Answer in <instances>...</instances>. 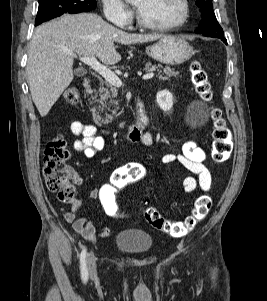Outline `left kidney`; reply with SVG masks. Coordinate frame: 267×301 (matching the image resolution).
Instances as JSON below:
<instances>
[{
    "mask_svg": "<svg viewBox=\"0 0 267 301\" xmlns=\"http://www.w3.org/2000/svg\"><path fill=\"white\" fill-rule=\"evenodd\" d=\"M156 101L163 111H169L173 106V95L167 90L157 93Z\"/></svg>",
    "mask_w": 267,
    "mask_h": 301,
    "instance_id": "1",
    "label": "left kidney"
}]
</instances>
